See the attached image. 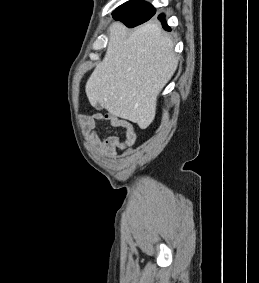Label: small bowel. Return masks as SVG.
<instances>
[{
  "instance_id": "c3829d8e",
  "label": "small bowel",
  "mask_w": 259,
  "mask_h": 283,
  "mask_svg": "<svg viewBox=\"0 0 259 283\" xmlns=\"http://www.w3.org/2000/svg\"><path fill=\"white\" fill-rule=\"evenodd\" d=\"M86 131L91 140L98 144L102 151L110 158L116 156L118 150H124L136 141V132L132 124L124 119L117 117L112 113L102 114L99 112L82 117ZM109 121L114 127L124 128V138L119 139L116 136H109L100 140L96 133V124L100 121Z\"/></svg>"
}]
</instances>
